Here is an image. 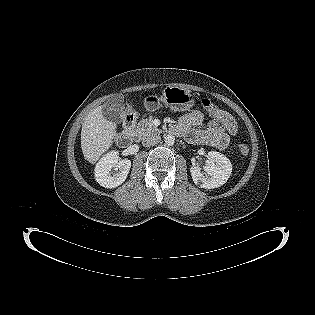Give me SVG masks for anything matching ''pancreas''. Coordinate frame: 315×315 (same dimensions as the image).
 Returning <instances> with one entry per match:
<instances>
[{
    "label": "pancreas",
    "mask_w": 315,
    "mask_h": 315,
    "mask_svg": "<svg viewBox=\"0 0 315 315\" xmlns=\"http://www.w3.org/2000/svg\"><path fill=\"white\" fill-rule=\"evenodd\" d=\"M158 131L159 130L154 126L152 119H143L137 124L136 128L132 130V136L141 140L151 133H158Z\"/></svg>",
    "instance_id": "cf45deb5"
}]
</instances>
